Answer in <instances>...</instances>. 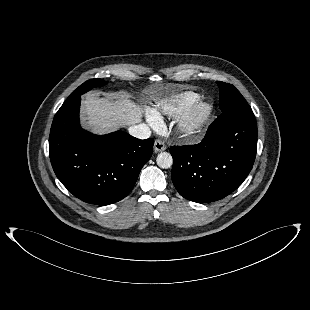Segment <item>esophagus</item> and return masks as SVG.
Wrapping results in <instances>:
<instances>
[{"instance_id": "obj_1", "label": "esophagus", "mask_w": 310, "mask_h": 310, "mask_svg": "<svg viewBox=\"0 0 310 310\" xmlns=\"http://www.w3.org/2000/svg\"><path fill=\"white\" fill-rule=\"evenodd\" d=\"M166 149L165 143L159 139H157L154 143V151L156 153L164 151Z\"/></svg>"}]
</instances>
